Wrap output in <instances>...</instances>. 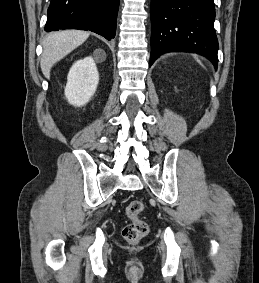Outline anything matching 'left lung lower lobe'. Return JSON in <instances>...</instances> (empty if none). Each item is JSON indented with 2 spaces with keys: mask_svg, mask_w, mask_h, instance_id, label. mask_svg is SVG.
Segmentation results:
<instances>
[{
  "mask_svg": "<svg viewBox=\"0 0 259 283\" xmlns=\"http://www.w3.org/2000/svg\"><path fill=\"white\" fill-rule=\"evenodd\" d=\"M150 65L163 53L188 51L218 64L214 0H151Z\"/></svg>",
  "mask_w": 259,
  "mask_h": 283,
  "instance_id": "obj_1",
  "label": "left lung lower lobe"
}]
</instances>
